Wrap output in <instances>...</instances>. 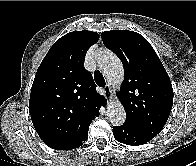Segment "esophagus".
Wrapping results in <instances>:
<instances>
[{"instance_id": "esophagus-1", "label": "esophagus", "mask_w": 196, "mask_h": 166, "mask_svg": "<svg viewBox=\"0 0 196 166\" xmlns=\"http://www.w3.org/2000/svg\"><path fill=\"white\" fill-rule=\"evenodd\" d=\"M104 91H105V95L106 97L111 100L112 99V89H111V86L109 84H107L105 87H104Z\"/></svg>"}]
</instances>
